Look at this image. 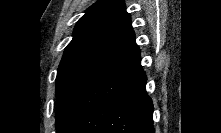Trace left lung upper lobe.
<instances>
[{
    "instance_id": "5c2ea615",
    "label": "left lung upper lobe",
    "mask_w": 221,
    "mask_h": 133,
    "mask_svg": "<svg viewBox=\"0 0 221 133\" xmlns=\"http://www.w3.org/2000/svg\"><path fill=\"white\" fill-rule=\"evenodd\" d=\"M136 47L130 16L120 0H100L77 22L56 77V128L82 91Z\"/></svg>"
}]
</instances>
